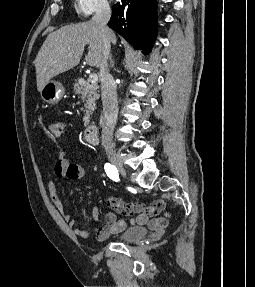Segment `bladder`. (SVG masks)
<instances>
[{
  "mask_svg": "<svg viewBox=\"0 0 255 287\" xmlns=\"http://www.w3.org/2000/svg\"><path fill=\"white\" fill-rule=\"evenodd\" d=\"M147 228L139 225L128 226L115 236L120 242H134L142 239L147 234Z\"/></svg>",
  "mask_w": 255,
  "mask_h": 287,
  "instance_id": "obj_1",
  "label": "bladder"
}]
</instances>
